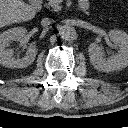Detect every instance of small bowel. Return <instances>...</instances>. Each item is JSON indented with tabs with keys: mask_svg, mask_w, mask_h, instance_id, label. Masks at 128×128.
<instances>
[{
	"mask_svg": "<svg viewBox=\"0 0 128 128\" xmlns=\"http://www.w3.org/2000/svg\"><path fill=\"white\" fill-rule=\"evenodd\" d=\"M79 2H80V6L82 7V8H88V6H89V0H79Z\"/></svg>",
	"mask_w": 128,
	"mask_h": 128,
	"instance_id": "obj_1",
	"label": "small bowel"
}]
</instances>
